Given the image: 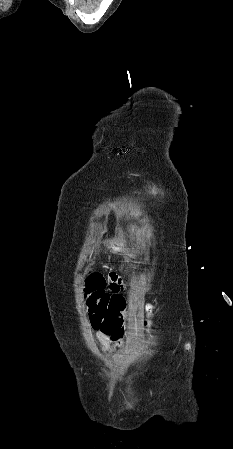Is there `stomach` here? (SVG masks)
Here are the masks:
<instances>
[{"label": "stomach", "instance_id": "stomach-1", "mask_svg": "<svg viewBox=\"0 0 233 449\" xmlns=\"http://www.w3.org/2000/svg\"><path fill=\"white\" fill-rule=\"evenodd\" d=\"M119 251H121V248H120L119 245H114V246L112 247V252L117 253V252H119Z\"/></svg>", "mask_w": 233, "mask_h": 449}]
</instances>
